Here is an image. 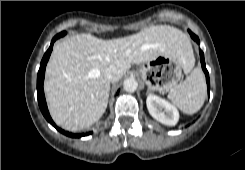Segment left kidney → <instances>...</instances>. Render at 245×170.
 <instances>
[{"label":"left kidney","instance_id":"obj_1","mask_svg":"<svg viewBox=\"0 0 245 170\" xmlns=\"http://www.w3.org/2000/svg\"><path fill=\"white\" fill-rule=\"evenodd\" d=\"M147 109L150 115L168 126H174L179 120V112L175 106L165 99L149 94L146 99Z\"/></svg>","mask_w":245,"mask_h":170}]
</instances>
